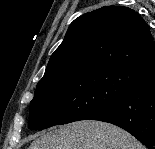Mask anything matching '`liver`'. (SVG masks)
I'll return each mask as SVG.
<instances>
[{
  "instance_id": "obj_1",
  "label": "liver",
  "mask_w": 155,
  "mask_h": 149,
  "mask_svg": "<svg viewBox=\"0 0 155 149\" xmlns=\"http://www.w3.org/2000/svg\"><path fill=\"white\" fill-rule=\"evenodd\" d=\"M28 149H145L127 131L101 121H76L36 138Z\"/></svg>"
}]
</instances>
